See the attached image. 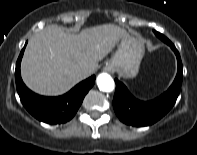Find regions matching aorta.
<instances>
[{
  "label": "aorta",
  "mask_w": 197,
  "mask_h": 155,
  "mask_svg": "<svg viewBox=\"0 0 197 155\" xmlns=\"http://www.w3.org/2000/svg\"><path fill=\"white\" fill-rule=\"evenodd\" d=\"M97 86L103 92H111L115 88V83L112 77L107 73H101L98 75Z\"/></svg>",
  "instance_id": "aorta-1"
}]
</instances>
